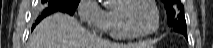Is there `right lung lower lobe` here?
I'll use <instances>...</instances> for the list:
<instances>
[{
    "instance_id": "right-lung-lower-lobe-1",
    "label": "right lung lower lobe",
    "mask_w": 213,
    "mask_h": 48,
    "mask_svg": "<svg viewBox=\"0 0 213 48\" xmlns=\"http://www.w3.org/2000/svg\"><path fill=\"white\" fill-rule=\"evenodd\" d=\"M54 12H63V11L51 6L45 8V10L43 11V14L36 20V23L33 25L32 29L36 26V24L40 22L41 19L45 18L46 16Z\"/></svg>"
}]
</instances>
